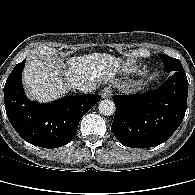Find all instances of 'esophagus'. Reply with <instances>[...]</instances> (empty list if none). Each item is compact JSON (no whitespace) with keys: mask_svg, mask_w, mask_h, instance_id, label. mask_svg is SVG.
Here are the masks:
<instances>
[{"mask_svg":"<svg viewBox=\"0 0 195 195\" xmlns=\"http://www.w3.org/2000/svg\"><path fill=\"white\" fill-rule=\"evenodd\" d=\"M112 96V89L110 87H105L101 91V97L102 98H110Z\"/></svg>","mask_w":195,"mask_h":195,"instance_id":"esophagus-1","label":"esophagus"}]
</instances>
